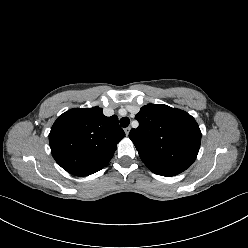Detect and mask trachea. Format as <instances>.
<instances>
[{
    "label": "trachea",
    "instance_id": "1",
    "mask_svg": "<svg viewBox=\"0 0 248 248\" xmlns=\"http://www.w3.org/2000/svg\"><path fill=\"white\" fill-rule=\"evenodd\" d=\"M130 123V119L128 117H123L120 119V125L123 127V128H126Z\"/></svg>",
    "mask_w": 248,
    "mask_h": 248
}]
</instances>
